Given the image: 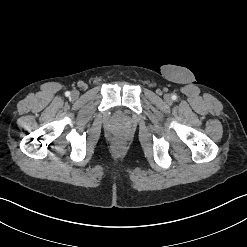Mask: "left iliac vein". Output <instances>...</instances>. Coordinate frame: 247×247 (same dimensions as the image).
Listing matches in <instances>:
<instances>
[{
  "label": "left iliac vein",
  "mask_w": 247,
  "mask_h": 247,
  "mask_svg": "<svg viewBox=\"0 0 247 247\" xmlns=\"http://www.w3.org/2000/svg\"><path fill=\"white\" fill-rule=\"evenodd\" d=\"M165 100H166L167 102H170V101H171V97H170L169 94H166V95H165Z\"/></svg>",
  "instance_id": "1"
}]
</instances>
